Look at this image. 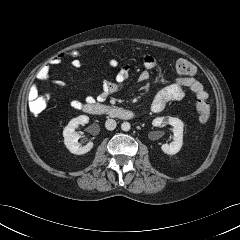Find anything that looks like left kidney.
<instances>
[{"label":"left kidney","instance_id":"obj_1","mask_svg":"<svg viewBox=\"0 0 240 240\" xmlns=\"http://www.w3.org/2000/svg\"><path fill=\"white\" fill-rule=\"evenodd\" d=\"M162 123L169 124L173 127V142L170 144H163L162 151L168 155L178 153L183 145V122L175 117H157L153 120V126H160Z\"/></svg>","mask_w":240,"mask_h":240}]
</instances>
